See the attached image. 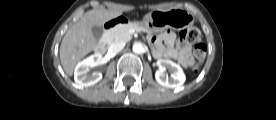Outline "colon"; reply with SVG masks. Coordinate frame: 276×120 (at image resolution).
<instances>
[{"label":"colon","mask_w":276,"mask_h":120,"mask_svg":"<svg viewBox=\"0 0 276 120\" xmlns=\"http://www.w3.org/2000/svg\"><path fill=\"white\" fill-rule=\"evenodd\" d=\"M183 41L193 44L194 70H198L206 56V46L201 42V32L196 27H190L180 33Z\"/></svg>","instance_id":"5ec220e1"}]
</instances>
